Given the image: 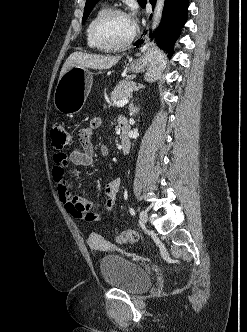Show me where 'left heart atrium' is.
Wrapping results in <instances>:
<instances>
[{
    "label": "left heart atrium",
    "mask_w": 247,
    "mask_h": 332,
    "mask_svg": "<svg viewBox=\"0 0 247 332\" xmlns=\"http://www.w3.org/2000/svg\"><path fill=\"white\" fill-rule=\"evenodd\" d=\"M131 21L133 22V24H135V17H130Z\"/></svg>",
    "instance_id": "39dd6f15"
}]
</instances>
